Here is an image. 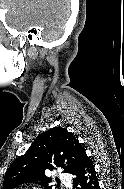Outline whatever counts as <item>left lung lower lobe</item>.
<instances>
[{
	"label": "left lung lower lobe",
	"mask_w": 124,
	"mask_h": 189,
	"mask_svg": "<svg viewBox=\"0 0 124 189\" xmlns=\"http://www.w3.org/2000/svg\"><path fill=\"white\" fill-rule=\"evenodd\" d=\"M76 189H100L94 164L90 157L86 156L78 170L72 174Z\"/></svg>",
	"instance_id": "1"
}]
</instances>
